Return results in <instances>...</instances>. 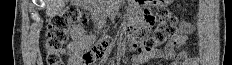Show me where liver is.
I'll return each instance as SVG.
<instances>
[{"label":"liver","mask_w":232,"mask_h":65,"mask_svg":"<svg viewBox=\"0 0 232 65\" xmlns=\"http://www.w3.org/2000/svg\"><path fill=\"white\" fill-rule=\"evenodd\" d=\"M44 2L46 6V15L53 17L62 11L68 0H44Z\"/></svg>","instance_id":"liver-1"}]
</instances>
